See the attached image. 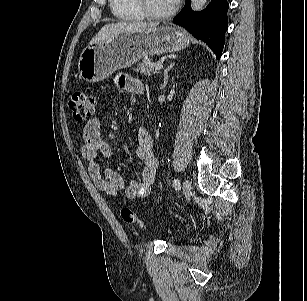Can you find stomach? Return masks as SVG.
Returning <instances> with one entry per match:
<instances>
[{"instance_id": "0dacf381", "label": "stomach", "mask_w": 307, "mask_h": 301, "mask_svg": "<svg viewBox=\"0 0 307 301\" xmlns=\"http://www.w3.org/2000/svg\"><path fill=\"white\" fill-rule=\"evenodd\" d=\"M188 45V34L178 27L161 26L121 32L82 51L78 61L79 76L87 82H100L143 57L179 51Z\"/></svg>"}]
</instances>
